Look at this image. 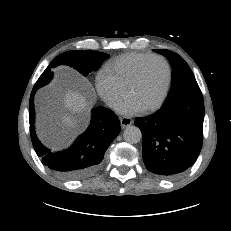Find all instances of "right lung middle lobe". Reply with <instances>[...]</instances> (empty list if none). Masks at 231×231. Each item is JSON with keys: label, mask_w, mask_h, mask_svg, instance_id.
Returning a JSON list of instances; mask_svg holds the SVG:
<instances>
[{"label": "right lung middle lobe", "mask_w": 231, "mask_h": 231, "mask_svg": "<svg viewBox=\"0 0 231 231\" xmlns=\"http://www.w3.org/2000/svg\"><path fill=\"white\" fill-rule=\"evenodd\" d=\"M108 55L93 50L68 51L57 56L46 70L39 77L33 90H38L48 84L52 77V68L59 64L73 67L82 75L87 76L90 72L96 71L100 65L107 59Z\"/></svg>", "instance_id": "1"}]
</instances>
